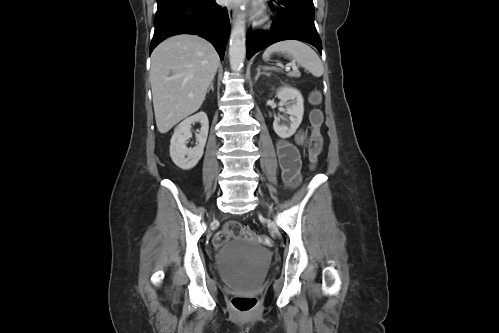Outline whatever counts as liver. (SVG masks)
I'll return each mask as SVG.
<instances>
[{
	"mask_svg": "<svg viewBox=\"0 0 499 333\" xmlns=\"http://www.w3.org/2000/svg\"><path fill=\"white\" fill-rule=\"evenodd\" d=\"M219 62L211 43L196 35H176L155 48L150 82L160 133H167L201 107Z\"/></svg>",
	"mask_w": 499,
	"mask_h": 333,
	"instance_id": "liver-1",
	"label": "liver"
}]
</instances>
